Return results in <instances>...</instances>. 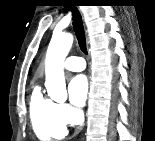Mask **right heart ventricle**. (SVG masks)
Returning <instances> with one entry per match:
<instances>
[{"instance_id": "right-heart-ventricle-1", "label": "right heart ventricle", "mask_w": 155, "mask_h": 141, "mask_svg": "<svg viewBox=\"0 0 155 141\" xmlns=\"http://www.w3.org/2000/svg\"><path fill=\"white\" fill-rule=\"evenodd\" d=\"M29 112L33 130L39 139H59L66 135V125L58 116V104L44 96L38 86L31 92Z\"/></svg>"}]
</instances>
